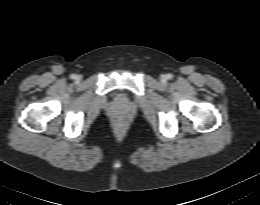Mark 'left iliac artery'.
<instances>
[{
  "instance_id": "left-iliac-artery-1",
  "label": "left iliac artery",
  "mask_w": 260,
  "mask_h": 205,
  "mask_svg": "<svg viewBox=\"0 0 260 205\" xmlns=\"http://www.w3.org/2000/svg\"><path fill=\"white\" fill-rule=\"evenodd\" d=\"M167 78H168V79H172V78H173V75H172V74H167Z\"/></svg>"
}]
</instances>
